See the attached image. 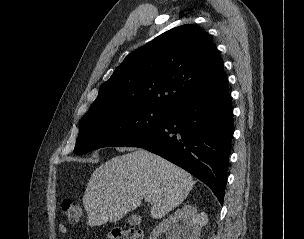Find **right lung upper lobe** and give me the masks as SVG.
<instances>
[{"label":"right lung upper lobe","instance_id":"right-lung-upper-lobe-1","mask_svg":"<svg viewBox=\"0 0 304 239\" xmlns=\"http://www.w3.org/2000/svg\"><path fill=\"white\" fill-rule=\"evenodd\" d=\"M223 77V61L210 37L196 25H182L132 52L101 85L84 117L137 106L168 110Z\"/></svg>","mask_w":304,"mask_h":239}]
</instances>
